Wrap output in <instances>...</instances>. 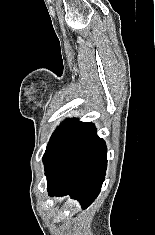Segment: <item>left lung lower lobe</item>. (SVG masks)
Segmentation results:
<instances>
[{"instance_id":"obj_1","label":"left lung lower lobe","mask_w":155,"mask_h":235,"mask_svg":"<svg viewBox=\"0 0 155 235\" xmlns=\"http://www.w3.org/2000/svg\"><path fill=\"white\" fill-rule=\"evenodd\" d=\"M51 196L70 194L87 208L98 196L107 168V148L90 122L79 125L44 163Z\"/></svg>"}]
</instances>
